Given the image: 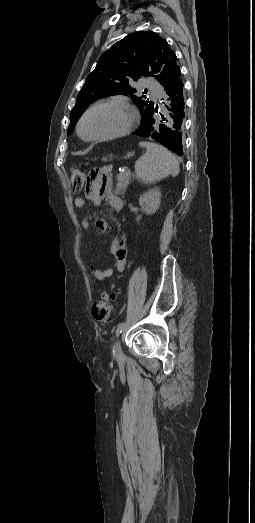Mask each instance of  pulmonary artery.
<instances>
[{
    "mask_svg": "<svg viewBox=\"0 0 255 523\" xmlns=\"http://www.w3.org/2000/svg\"><path fill=\"white\" fill-rule=\"evenodd\" d=\"M163 85L158 78H147L144 81V89L150 91V99L153 102L154 107L159 108L162 105V100L164 99V94L162 93Z\"/></svg>",
    "mask_w": 255,
    "mask_h": 523,
    "instance_id": "obj_1",
    "label": "pulmonary artery"
}]
</instances>
